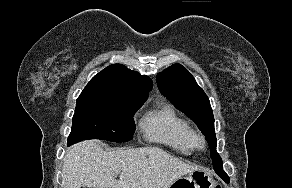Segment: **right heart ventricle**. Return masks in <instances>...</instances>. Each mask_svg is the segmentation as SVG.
Masks as SVG:
<instances>
[{"mask_svg":"<svg viewBox=\"0 0 292 188\" xmlns=\"http://www.w3.org/2000/svg\"><path fill=\"white\" fill-rule=\"evenodd\" d=\"M145 137L189 155L195 150V132L170 105H162L145 114L141 121Z\"/></svg>","mask_w":292,"mask_h":188,"instance_id":"e07e8e85","label":"right heart ventricle"}]
</instances>
